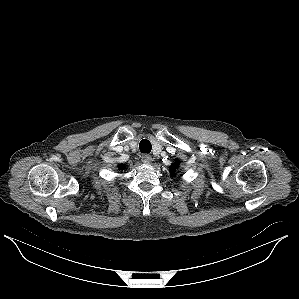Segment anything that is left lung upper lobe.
<instances>
[{"label":"left lung upper lobe","instance_id":"left-lung-upper-lobe-1","mask_svg":"<svg viewBox=\"0 0 299 299\" xmlns=\"http://www.w3.org/2000/svg\"><path fill=\"white\" fill-rule=\"evenodd\" d=\"M178 162L179 161H176L174 164H172V166L170 168V172H171L172 177L175 176V171H176V169L178 168V165H179Z\"/></svg>","mask_w":299,"mask_h":299}]
</instances>
